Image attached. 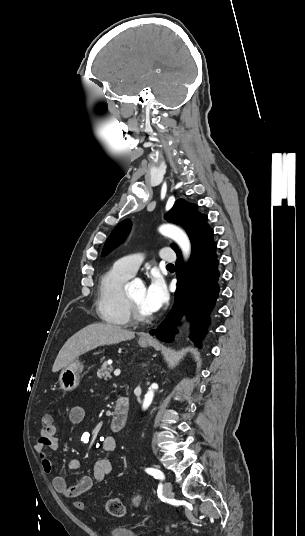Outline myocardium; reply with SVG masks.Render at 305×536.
I'll use <instances>...</instances> for the list:
<instances>
[{"instance_id": "f54148a6", "label": "myocardium", "mask_w": 305, "mask_h": 536, "mask_svg": "<svg viewBox=\"0 0 305 536\" xmlns=\"http://www.w3.org/2000/svg\"><path fill=\"white\" fill-rule=\"evenodd\" d=\"M124 301L127 306V309L131 316L138 321H147L153 318L152 314L143 313L138 307L132 302L129 294L124 292Z\"/></svg>"}]
</instances>
